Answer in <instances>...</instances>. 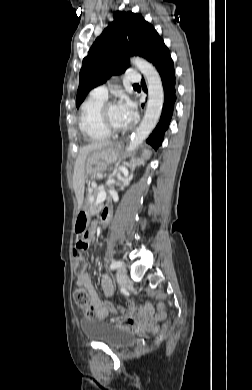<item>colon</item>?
Segmentation results:
<instances>
[{
  "label": "colon",
  "mask_w": 252,
  "mask_h": 390,
  "mask_svg": "<svg viewBox=\"0 0 252 390\" xmlns=\"http://www.w3.org/2000/svg\"><path fill=\"white\" fill-rule=\"evenodd\" d=\"M78 231L82 234L81 238L76 243V249L73 253V260H74V272L77 275H81L86 266L85 262V256L84 251L88 246V237L87 232L85 231V221L80 222V226L78 228ZM73 300L74 303L80 307L85 317L92 318L95 315V311L91 305H89V294L86 288L84 287H77L73 292ZM114 317L111 319V321L115 323H121L123 321V317L119 316L116 311H114ZM168 324L165 325V328L157 333L156 338L158 340H162L165 336L166 327Z\"/></svg>",
  "instance_id": "1"
}]
</instances>
